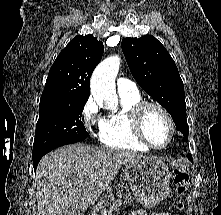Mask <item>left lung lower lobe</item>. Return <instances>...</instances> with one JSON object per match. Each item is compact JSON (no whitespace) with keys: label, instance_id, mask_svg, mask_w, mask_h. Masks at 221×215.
I'll use <instances>...</instances> for the list:
<instances>
[{"label":"left lung lower lobe","instance_id":"0a47b994","mask_svg":"<svg viewBox=\"0 0 221 215\" xmlns=\"http://www.w3.org/2000/svg\"><path fill=\"white\" fill-rule=\"evenodd\" d=\"M188 157H189L190 159H192V156H191L190 154L188 155Z\"/></svg>","mask_w":221,"mask_h":215}]
</instances>
